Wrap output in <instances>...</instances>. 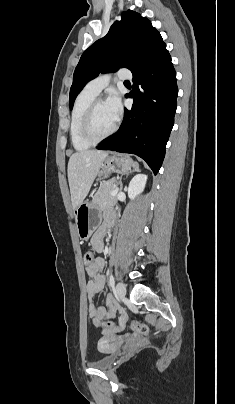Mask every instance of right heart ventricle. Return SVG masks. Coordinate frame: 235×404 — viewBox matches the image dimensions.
<instances>
[{"label": "right heart ventricle", "mask_w": 235, "mask_h": 404, "mask_svg": "<svg viewBox=\"0 0 235 404\" xmlns=\"http://www.w3.org/2000/svg\"><path fill=\"white\" fill-rule=\"evenodd\" d=\"M95 98V95L83 89L74 102L70 117L69 135L71 143L77 151H84L92 146L82 137L81 125L88 106Z\"/></svg>", "instance_id": "right-heart-ventricle-1"}]
</instances>
